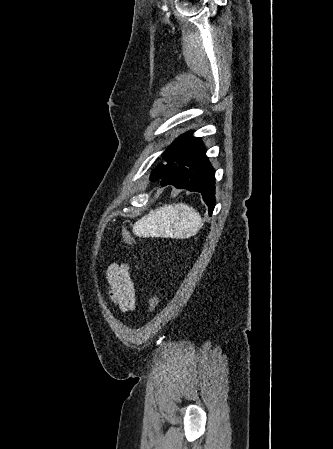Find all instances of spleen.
Masks as SVG:
<instances>
[{
    "label": "spleen",
    "instance_id": "1",
    "mask_svg": "<svg viewBox=\"0 0 333 449\" xmlns=\"http://www.w3.org/2000/svg\"><path fill=\"white\" fill-rule=\"evenodd\" d=\"M203 226L201 215L184 203L164 205L139 219L133 226L143 237L189 238Z\"/></svg>",
    "mask_w": 333,
    "mask_h": 449
}]
</instances>
